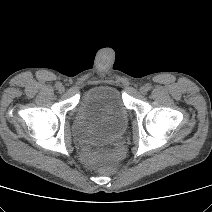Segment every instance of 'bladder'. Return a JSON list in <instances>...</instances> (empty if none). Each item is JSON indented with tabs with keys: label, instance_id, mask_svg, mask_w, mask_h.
<instances>
[{
	"label": "bladder",
	"instance_id": "31cf9c89",
	"mask_svg": "<svg viewBox=\"0 0 212 212\" xmlns=\"http://www.w3.org/2000/svg\"><path fill=\"white\" fill-rule=\"evenodd\" d=\"M128 124V110L120 92L97 86L84 92L73 114L72 130L77 141L89 144L122 134Z\"/></svg>",
	"mask_w": 212,
	"mask_h": 212
}]
</instances>
